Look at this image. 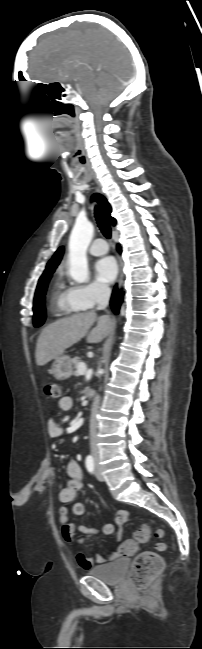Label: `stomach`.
Instances as JSON below:
<instances>
[{"instance_id": "1", "label": "stomach", "mask_w": 202, "mask_h": 649, "mask_svg": "<svg viewBox=\"0 0 202 649\" xmlns=\"http://www.w3.org/2000/svg\"><path fill=\"white\" fill-rule=\"evenodd\" d=\"M50 373L57 380H66L70 378L73 375V360L67 355L55 358Z\"/></svg>"}]
</instances>
